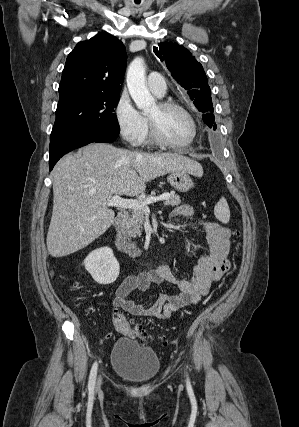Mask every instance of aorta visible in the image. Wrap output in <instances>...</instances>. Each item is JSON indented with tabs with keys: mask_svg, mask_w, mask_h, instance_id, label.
Segmentation results:
<instances>
[{
	"mask_svg": "<svg viewBox=\"0 0 299 427\" xmlns=\"http://www.w3.org/2000/svg\"><path fill=\"white\" fill-rule=\"evenodd\" d=\"M127 87L138 109L149 111L155 107V99L146 85L145 63L140 57H136L128 67Z\"/></svg>",
	"mask_w": 299,
	"mask_h": 427,
	"instance_id": "762f6f07",
	"label": "aorta"
}]
</instances>
